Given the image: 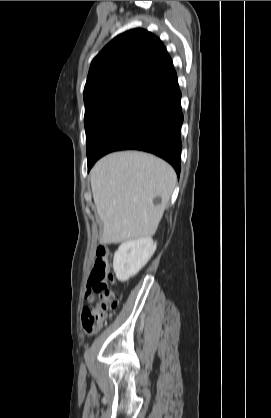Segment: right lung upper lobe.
Segmentation results:
<instances>
[{
	"label": "right lung upper lobe",
	"mask_w": 271,
	"mask_h": 418,
	"mask_svg": "<svg viewBox=\"0 0 271 418\" xmlns=\"http://www.w3.org/2000/svg\"><path fill=\"white\" fill-rule=\"evenodd\" d=\"M178 86L161 40L144 29L114 38L93 59L84 88L85 107L122 95L154 102Z\"/></svg>",
	"instance_id": "cb5924a9"
}]
</instances>
